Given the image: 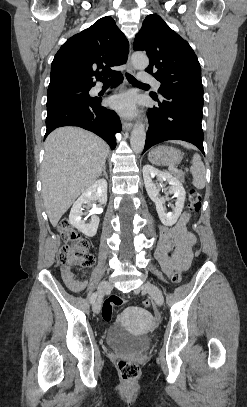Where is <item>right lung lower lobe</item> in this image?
<instances>
[{
    "instance_id": "1",
    "label": "right lung lower lobe",
    "mask_w": 247,
    "mask_h": 407,
    "mask_svg": "<svg viewBox=\"0 0 247 407\" xmlns=\"http://www.w3.org/2000/svg\"><path fill=\"white\" fill-rule=\"evenodd\" d=\"M123 81L120 72L114 74L112 84L118 85ZM101 99L92 101H68L47 107L46 134L44 139L54 129L62 126H79L92 131L103 138L115 149V133L121 131V122L113 110L100 106Z\"/></svg>"
}]
</instances>
